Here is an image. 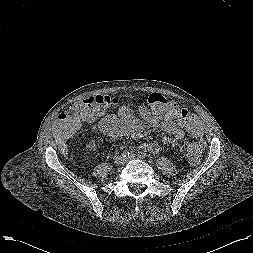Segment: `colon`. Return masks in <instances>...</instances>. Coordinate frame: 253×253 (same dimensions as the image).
<instances>
[{
    "label": "colon",
    "instance_id": "colon-1",
    "mask_svg": "<svg viewBox=\"0 0 253 253\" xmlns=\"http://www.w3.org/2000/svg\"><path fill=\"white\" fill-rule=\"evenodd\" d=\"M117 103L118 99L110 95H95L75 102L66 112L59 115L60 131L66 136H71L78 131L82 122L96 119ZM148 103L151 108L148 110L150 118L177 119L193 135H200L201 127L198 117L191 111L181 108L175 100L153 93L148 97ZM203 148L204 141L202 139L192 140L184 145V151L191 163L199 161Z\"/></svg>",
    "mask_w": 253,
    "mask_h": 253
}]
</instances>
